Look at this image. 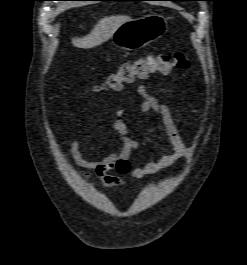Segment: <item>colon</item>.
<instances>
[{"instance_id": "obj_1", "label": "colon", "mask_w": 247, "mask_h": 265, "mask_svg": "<svg viewBox=\"0 0 247 265\" xmlns=\"http://www.w3.org/2000/svg\"><path fill=\"white\" fill-rule=\"evenodd\" d=\"M189 65V60L181 52L150 54L144 58L123 63L116 72L95 86L94 91L99 95L120 91L124 84L131 83L136 79L167 74L173 69L185 70Z\"/></svg>"}]
</instances>
